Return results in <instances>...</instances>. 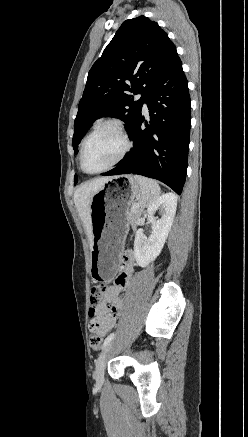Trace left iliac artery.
<instances>
[{
  "instance_id": "left-iliac-artery-1",
  "label": "left iliac artery",
  "mask_w": 248,
  "mask_h": 437,
  "mask_svg": "<svg viewBox=\"0 0 248 437\" xmlns=\"http://www.w3.org/2000/svg\"><path fill=\"white\" fill-rule=\"evenodd\" d=\"M115 337V333H111L110 335H108V337L105 339L102 348H104L109 342H111Z\"/></svg>"
}]
</instances>
